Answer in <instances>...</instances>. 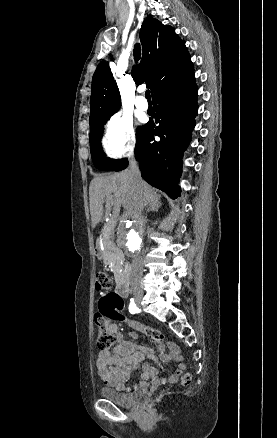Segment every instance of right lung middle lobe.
Wrapping results in <instances>:
<instances>
[{"label": "right lung middle lobe", "mask_w": 277, "mask_h": 438, "mask_svg": "<svg viewBox=\"0 0 277 438\" xmlns=\"http://www.w3.org/2000/svg\"><path fill=\"white\" fill-rule=\"evenodd\" d=\"M105 124L106 122L90 123V151L95 167L100 170L109 171L116 169L125 159L112 160L105 157L100 143L104 129L103 126ZM141 129L142 127L138 128L137 135L140 133Z\"/></svg>", "instance_id": "dd1d6c3e"}]
</instances>
